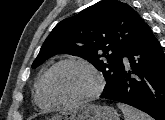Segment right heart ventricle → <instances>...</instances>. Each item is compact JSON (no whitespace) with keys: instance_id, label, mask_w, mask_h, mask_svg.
Listing matches in <instances>:
<instances>
[{"instance_id":"obj_1","label":"right heart ventricle","mask_w":165,"mask_h":120,"mask_svg":"<svg viewBox=\"0 0 165 120\" xmlns=\"http://www.w3.org/2000/svg\"><path fill=\"white\" fill-rule=\"evenodd\" d=\"M35 101L43 108H52L56 104L48 96L44 87V75L39 79L35 87Z\"/></svg>"}]
</instances>
